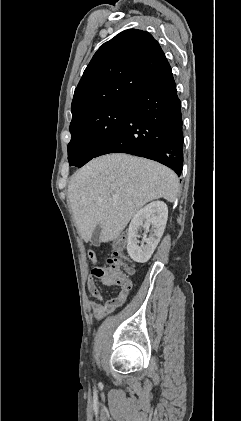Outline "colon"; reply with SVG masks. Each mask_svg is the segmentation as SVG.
Instances as JSON below:
<instances>
[{"instance_id":"5ec220e1","label":"colon","mask_w":241,"mask_h":421,"mask_svg":"<svg viewBox=\"0 0 241 421\" xmlns=\"http://www.w3.org/2000/svg\"><path fill=\"white\" fill-rule=\"evenodd\" d=\"M112 246L113 253L106 258L102 266L94 269V274L103 281L122 286L129 281L127 273L130 271L122 255L124 238H119L113 242Z\"/></svg>"}]
</instances>
